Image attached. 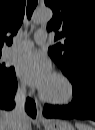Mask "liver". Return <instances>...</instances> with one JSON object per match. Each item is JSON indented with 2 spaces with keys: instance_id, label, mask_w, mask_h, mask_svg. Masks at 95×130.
<instances>
[{
  "instance_id": "6515ba94",
  "label": "liver",
  "mask_w": 95,
  "mask_h": 130,
  "mask_svg": "<svg viewBox=\"0 0 95 130\" xmlns=\"http://www.w3.org/2000/svg\"><path fill=\"white\" fill-rule=\"evenodd\" d=\"M13 119L11 113L5 110L0 111V130H13ZM22 130H32L31 119L26 116L21 125Z\"/></svg>"
}]
</instances>
